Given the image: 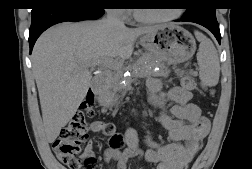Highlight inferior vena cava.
<instances>
[{
    "instance_id": "inferior-vena-cava-1",
    "label": "inferior vena cava",
    "mask_w": 252,
    "mask_h": 169,
    "mask_svg": "<svg viewBox=\"0 0 252 169\" xmlns=\"http://www.w3.org/2000/svg\"><path fill=\"white\" fill-rule=\"evenodd\" d=\"M105 20L116 27L124 28V23L120 20L118 13L113 9H108Z\"/></svg>"
}]
</instances>
